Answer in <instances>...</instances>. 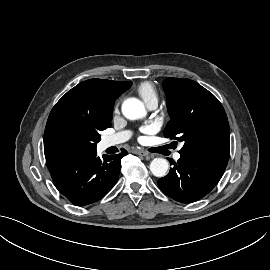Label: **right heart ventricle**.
I'll list each match as a JSON object with an SVG mask.
<instances>
[{
	"label": "right heart ventricle",
	"mask_w": 270,
	"mask_h": 270,
	"mask_svg": "<svg viewBox=\"0 0 270 270\" xmlns=\"http://www.w3.org/2000/svg\"><path fill=\"white\" fill-rule=\"evenodd\" d=\"M137 92L139 93V95L142 97V99L146 104L153 99L158 100V93L154 85L150 82L140 83L137 87Z\"/></svg>",
	"instance_id": "e07e8e85"
}]
</instances>
